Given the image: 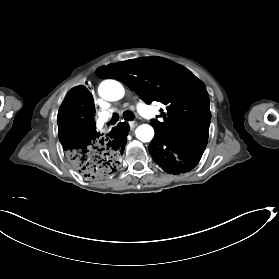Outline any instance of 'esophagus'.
Masks as SVG:
<instances>
[{
  "mask_svg": "<svg viewBox=\"0 0 279 279\" xmlns=\"http://www.w3.org/2000/svg\"><path fill=\"white\" fill-rule=\"evenodd\" d=\"M129 126H130L131 129H133L137 126V123L135 121L129 122Z\"/></svg>",
  "mask_w": 279,
  "mask_h": 279,
  "instance_id": "obj_1",
  "label": "esophagus"
}]
</instances>
